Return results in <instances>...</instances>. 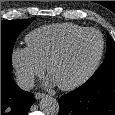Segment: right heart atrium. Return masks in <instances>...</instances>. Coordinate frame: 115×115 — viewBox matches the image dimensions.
Listing matches in <instances>:
<instances>
[{"instance_id": "obj_1", "label": "right heart atrium", "mask_w": 115, "mask_h": 115, "mask_svg": "<svg viewBox=\"0 0 115 115\" xmlns=\"http://www.w3.org/2000/svg\"><path fill=\"white\" fill-rule=\"evenodd\" d=\"M11 62L17 79L24 88H29L35 78L44 73V66L32 56L27 48H14L11 52Z\"/></svg>"}]
</instances>
